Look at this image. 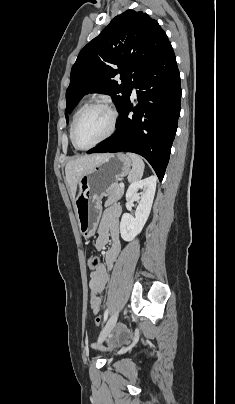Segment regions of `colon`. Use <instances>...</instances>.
Masks as SVG:
<instances>
[{
	"label": "colon",
	"mask_w": 235,
	"mask_h": 404,
	"mask_svg": "<svg viewBox=\"0 0 235 404\" xmlns=\"http://www.w3.org/2000/svg\"><path fill=\"white\" fill-rule=\"evenodd\" d=\"M87 265L90 270H96L100 266V259L97 256H90L87 261ZM102 323V317L100 315H97L95 317V324L97 326L101 325Z\"/></svg>",
	"instance_id": "obj_1"
}]
</instances>
